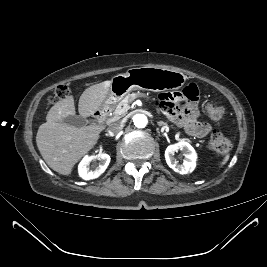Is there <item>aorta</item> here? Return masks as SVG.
Returning <instances> with one entry per match:
<instances>
[{"label":"aorta","mask_w":267,"mask_h":267,"mask_svg":"<svg viewBox=\"0 0 267 267\" xmlns=\"http://www.w3.org/2000/svg\"><path fill=\"white\" fill-rule=\"evenodd\" d=\"M133 124L137 128H145L148 124V117L143 113H137L133 116Z\"/></svg>","instance_id":"1"}]
</instances>
